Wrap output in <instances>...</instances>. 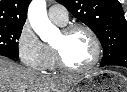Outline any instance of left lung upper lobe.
Returning a JSON list of instances; mask_svg holds the SVG:
<instances>
[{
    "label": "left lung upper lobe",
    "instance_id": "1",
    "mask_svg": "<svg viewBox=\"0 0 127 92\" xmlns=\"http://www.w3.org/2000/svg\"><path fill=\"white\" fill-rule=\"evenodd\" d=\"M90 27L103 47V58L127 50V21L118 0H57Z\"/></svg>",
    "mask_w": 127,
    "mask_h": 92
}]
</instances>
